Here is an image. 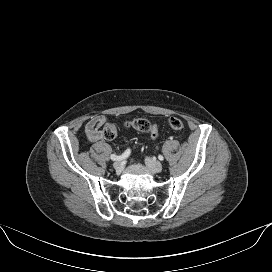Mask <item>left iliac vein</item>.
<instances>
[{
  "label": "left iliac vein",
  "mask_w": 272,
  "mask_h": 272,
  "mask_svg": "<svg viewBox=\"0 0 272 272\" xmlns=\"http://www.w3.org/2000/svg\"><path fill=\"white\" fill-rule=\"evenodd\" d=\"M145 164L149 170H151L152 172H155V173H159L163 169V165L161 162L154 160L152 158H149V157H147L145 159Z\"/></svg>",
  "instance_id": "1"
}]
</instances>
